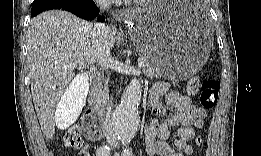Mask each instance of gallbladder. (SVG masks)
I'll return each instance as SVG.
<instances>
[{
	"mask_svg": "<svg viewBox=\"0 0 261 156\" xmlns=\"http://www.w3.org/2000/svg\"><path fill=\"white\" fill-rule=\"evenodd\" d=\"M71 85L68 89H65L63 100H61L54 110L56 127L58 129H67L71 127V124L75 122L81 113L85 102H87V96L89 90V76L87 73H80L76 75V78L71 80Z\"/></svg>",
	"mask_w": 261,
	"mask_h": 156,
	"instance_id": "obj_1",
	"label": "gallbladder"
}]
</instances>
